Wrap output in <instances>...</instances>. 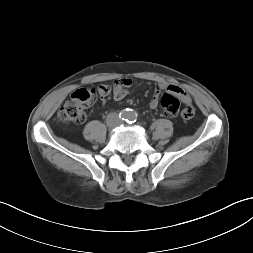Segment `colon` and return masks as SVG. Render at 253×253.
Instances as JSON below:
<instances>
[{"label": "colon", "instance_id": "5ec220e1", "mask_svg": "<svg viewBox=\"0 0 253 253\" xmlns=\"http://www.w3.org/2000/svg\"><path fill=\"white\" fill-rule=\"evenodd\" d=\"M98 97H102L98 89L80 88L75 90L58 112L62 123L81 124L86 118V109ZM161 108L164 116L177 117L180 114V101L177 95L166 92L161 97Z\"/></svg>", "mask_w": 253, "mask_h": 253}]
</instances>
